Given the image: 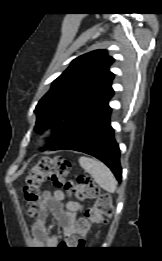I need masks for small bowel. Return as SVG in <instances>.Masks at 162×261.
<instances>
[{"instance_id":"obj_1","label":"small bowel","mask_w":162,"mask_h":261,"mask_svg":"<svg viewBox=\"0 0 162 261\" xmlns=\"http://www.w3.org/2000/svg\"><path fill=\"white\" fill-rule=\"evenodd\" d=\"M67 199L66 207L63 202ZM81 211V204L71 198L69 189H57L52 194L45 193L40 201V215L32 226V232L36 243L42 240L48 248L58 246L57 235H46V220L48 215H52L62 226L65 238H68L75 228V221Z\"/></svg>"}]
</instances>
